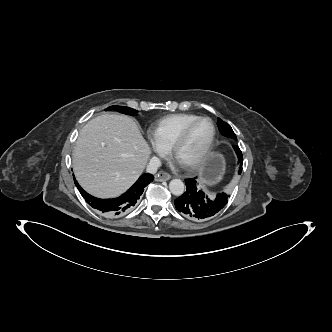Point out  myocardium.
<instances>
[{"label": "myocardium", "instance_id": "myocardium-1", "mask_svg": "<svg viewBox=\"0 0 332 332\" xmlns=\"http://www.w3.org/2000/svg\"><path fill=\"white\" fill-rule=\"evenodd\" d=\"M201 121H207V122L210 123L211 129H212L211 137H210V140H209L208 144L203 149V151L192 162H190L188 164H185V165H182L183 168H185L186 170H196L197 168H199L202 165V163L205 161V159L207 158V156L209 155L211 150L213 149L215 141H216V136H217V130H216L215 124L208 117H198V118H196L195 120L191 121L189 124H187L183 128V130L180 132V134L178 135V137L176 138L175 142L173 143V145L171 147V155H172L173 158L176 159L177 153H178L180 147L185 142V140H186L188 134L190 133L191 129L197 123H199Z\"/></svg>", "mask_w": 332, "mask_h": 332}]
</instances>
